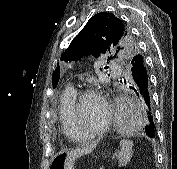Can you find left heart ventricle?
I'll use <instances>...</instances> for the list:
<instances>
[{"mask_svg": "<svg viewBox=\"0 0 177 169\" xmlns=\"http://www.w3.org/2000/svg\"><path fill=\"white\" fill-rule=\"evenodd\" d=\"M106 118L102 101L94 96L83 99L78 111V132L88 134L99 129Z\"/></svg>", "mask_w": 177, "mask_h": 169, "instance_id": "1", "label": "left heart ventricle"}]
</instances>
